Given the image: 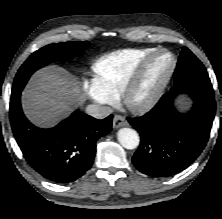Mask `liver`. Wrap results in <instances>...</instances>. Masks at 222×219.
I'll return each mask as SVG.
<instances>
[{
	"instance_id": "liver-1",
	"label": "liver",
	"mask_w": 222,
	"mask_h": 219,
	"mask_svg": "<svg viewBox=\"0 0 222 219\" xmlns=\"http://www.w3.org/2000/svg\"><path fill=\"white\" fill-rule=\"evenodd\" d=\"M84 100L74 77L55 65L37 71L22 94L27 117L43 127L52 126L67 117Z\"/></svg>"
}]
</instances>
